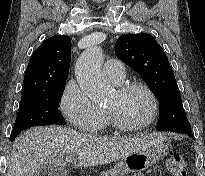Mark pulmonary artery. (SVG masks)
<instances>
[{
    "instance_id": "obj_1",
    "label": "pulmonary artery",
    "mask_w": 205,
    "mask_h": 176,
    "mask_svg": "<svg viewBox=\"0 0 205 176\" xmlns=\"http://www.w3.org/2000/svg\"><path fill=\"white\" fill-rule=\"evenodd\" d=\"M103 74L110 82L120 84L125 79L124 64L119 60L109 59L104 63Z\"/></svg>"
}]
</instances>
